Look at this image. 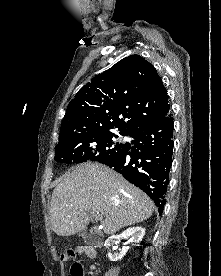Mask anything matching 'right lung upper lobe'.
I'll return each instance as SVG.
<instances>
[{
	"mask_svg": "<svg viewBox=\"0 0 221 276\" xmlns=\"http://www.w3.org/2000/svg\"><path fill=\"white\" fill-rule=\"evenodd\" d=\"M169 111L167 91L154 66L131 55L78 91L67 107L59 142L113 128L130 135Z\"/></svg>",
	"mask_w": 221,
	"mask_h": 276,
	"instance_id": "obj_1",
	"label": "right lung upper lobe"
}]
</instances>
